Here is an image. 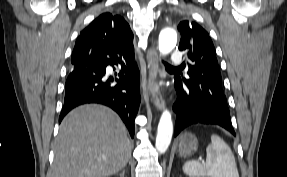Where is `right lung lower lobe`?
<instances>
[{
    "label": "right lung lower lobe",
    "instance_id": "right-lung-lower-lobe-1",
    "mask_svg": "<svg viewBox=\"0 0 287 177\" xmlns=\"http://www.w3.org/2000/svg\"><path fill=\"white\" fill-rule=\"evenodd\" d=\"M133 51V47L123 43L92 47L86 59L72 65L66 80L59 122L79 105L99 103L115 110L133 137L140 102L139 70L133 62ZM108 65L121 66L119 79L107 77Z\"/></svg>",
    "mask_w": 287,
    "mask_h": 177
}]
</instances>
